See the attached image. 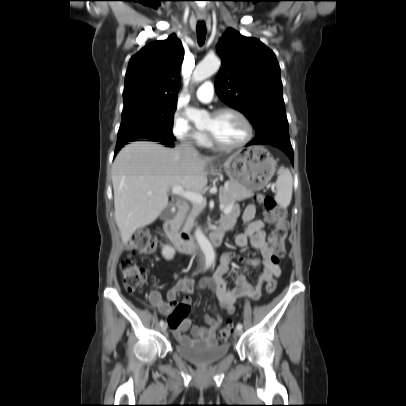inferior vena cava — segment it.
I'll return each mask as SVG.
<instances>
[{"label": "inferior vena cava", "mask_w": 406, "mask_h": 406, "mask_svg": "<svg viewBox=\"0 0 406 406\" xmlns=\"http://www.w3.org/2000/svg\"><path fill=\"white\" fill-rule=\"evenodd\" d=\"M179 148L194 155L198 154V151L190 143H182Z\"/></svg>", "instance_id": "602c4592"}]
</instances>
